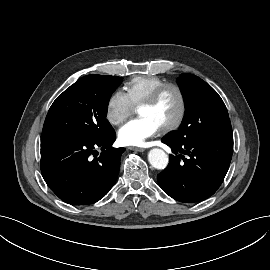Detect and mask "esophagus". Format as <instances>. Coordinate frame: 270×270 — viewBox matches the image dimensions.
<instances>
[{"instance_id": "1", "label": "esophagus", "mask_w": 270, "mask_h": 270, "mask_svg": "<svg viewBox=\"0 0 270 270\" xmlns=\"http://www.w3.org/2000/svg\"><path fill=\"white\" fill-rule=\"evenodd\" d=\"M128 149L136 151V152H143L145 151L144 148H140V147H129Z\"/></svg>"}]
</instances>
